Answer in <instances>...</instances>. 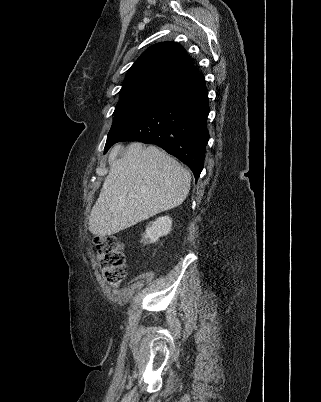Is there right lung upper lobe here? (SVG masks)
I'll list each match as a JSON object with an SVG mask.
<instances>
[{"label":"right lung upper lobe","instance_id":"cb5924a9","mask_svg":"<svg viewBox=\"0 0 321 402\" xmlns=\"http://www.w3.org/2000/svg\"><path fill=\"white\" fill-rule=\"evenodd\" d=\"M196 73L191 59L181 46L174 42L157 43L145 50L131 66L121 91L150 83L173 87Z\"/></svg>","mask_w":321,"mask_h":402}]
</instances>
